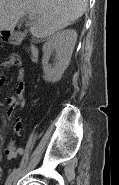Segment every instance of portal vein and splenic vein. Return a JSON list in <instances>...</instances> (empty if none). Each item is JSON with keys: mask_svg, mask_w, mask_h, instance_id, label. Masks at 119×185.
<instances>
[{"mask_svg": "<svg viewBox=\"0 0 119 185\" xmlns=\"http://www.w3.org/2000/svg\"><path fill=\"white\" fill-rule=\"evenodd\" d=\"M29 18L32 19L33 18V15L32 14H29Z\"/></svg>", "mask_w": 119, "mask_h": 185, "instance_id": "1", "label": "portal vein and splenic vein"}]
</instances>
